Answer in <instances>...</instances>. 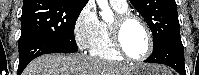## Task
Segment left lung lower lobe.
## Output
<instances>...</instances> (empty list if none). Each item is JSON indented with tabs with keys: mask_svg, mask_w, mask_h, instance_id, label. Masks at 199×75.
Segmentation results:
<instances>
[{
	"mask_svg": "<svg viewBox=\"0 0 199 75\" xmlns=\"http://www.w3.org/2000/svg\"><path fill=\"white\" fill-rule=\"evenodd\" d=\"M147 63L165 64L175 69L180 75H186L184 64V48L180 34L169 38L160 47L153 50L145 60Z\"/></svg>",
	"mask_w": 199,
	"mask_h": 75,
	"instance_id": "1",
	"label": "left lung lower lobe"
}]
</instances>
